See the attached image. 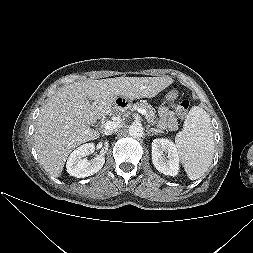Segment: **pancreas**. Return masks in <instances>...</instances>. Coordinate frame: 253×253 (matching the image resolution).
I'll return each instance as SVG.
<instances>
[{"label":"pancreas","instance_id":"1","mask_svg":"<svg viewBox=\"0 0 253 253\" xmlns=\"http://www.w3.org/2000/svg\"><path fill=\"white\" fill-rule=\"evenodd\" d=\"M133 110L144 109L146 111L145 118L149 123L155 124L157 122L156 110L146 102L135 103L132 105Z\"/></svg>","mask_w":253,"mask_h":253}]
</instances>
